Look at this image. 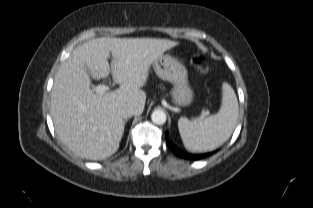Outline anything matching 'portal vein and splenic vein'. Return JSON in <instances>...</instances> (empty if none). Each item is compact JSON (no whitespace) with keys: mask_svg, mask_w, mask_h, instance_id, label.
Segmentation results:
<instances>
[{"mask_svg":"<svg viewBox=\"0 0 313 208\" xmlns=\"http://www.w3.org/2000/svg\"><path fill=\"white\" fill-rule=\"evenodd\" d=\"M109 89L110 87L107 85H97L92 88V91H95L97 94H104Z\"/></svg>","mask_w":313,"mask_h":208,"instance_id":"portal-vein-and-splenic-vein-1","label":"portal vein and splenic vein"}]
</instances>
